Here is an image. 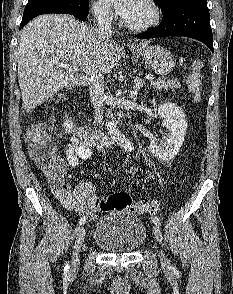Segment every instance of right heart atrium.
Segmentation results:
<instances>
[{
	"instance_id": "d8ad5b80",
	"label": "right heart atrium",
	"mask_w": 233,
	"mask_h": 294,
	"mask_svg": "<svg viewBox=\"0 0 233 294\" xmlns=\"http://www.w3.org/2000/svg\"><path fill=\"white\" fill-rule=\"evenodd\" d=\"M91 11L94 17L100 22H110L114 18L113 12L103 0H95L92 2Z\"/></svg>"
}]
</instances>
